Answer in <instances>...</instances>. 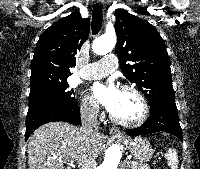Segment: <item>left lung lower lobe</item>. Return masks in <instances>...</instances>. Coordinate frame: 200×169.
Here are the masks:
<instances>
[{"label":"left lung lower lobe","instance_id":"1","mask_svg":"<svg viewBox=\"0 0 200 169\" xmlns=\"http://www.w3.org/2000/svg\"><path fill=\"white\" fill-rule=\"evenodd\" d=\"M150 106L151 114L147 121L141 127L128 129L126 133L130 136H138L165 131L183 141L175 101L158 100Z\"/></svg>","mask_w":200,"mask_h":169}]
</instances>
